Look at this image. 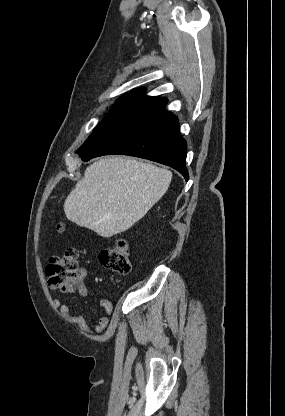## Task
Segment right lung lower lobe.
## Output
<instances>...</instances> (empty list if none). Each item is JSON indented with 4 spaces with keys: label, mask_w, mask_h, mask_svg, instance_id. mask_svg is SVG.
<instances>
[{
    "label": "right lung lower lobe",
    "mask_w": 285,
    "mask_h": 416,
    "mask_svg": "<svg viewBox=\"0 0 285 416\" xmlns=\"http://www.w3.org/2000/svg\"><path fill=\"white\" fill-rule=\"evenodd\" d=\"M186 153L178 118L162 109L78 154L83 161L110 154L145 158L176 169L188 180Z\"/></svg>",
    "instance_id": "98d812e1"
}]
</instances>
